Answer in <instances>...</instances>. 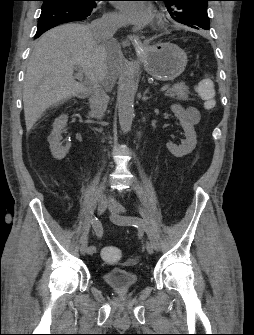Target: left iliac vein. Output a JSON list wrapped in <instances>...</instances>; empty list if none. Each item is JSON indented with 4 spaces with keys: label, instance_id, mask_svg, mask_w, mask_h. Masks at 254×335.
Listing matches in <instances>:
<instances>
[{
    "label": "left iliac vein",
    "instance_id": "1",
    "mask_svg": "<svg viewBox=\"0 0 254 335\" xmlns=\"http://www.w3.org/2000/svg\"><path fill=\"white\" fill-rule=\"evenodd\" d=\"M109 211L111 213V220L119 225H130L126 222H121L117 219L118 216H120V213L123 211L122 207L114 200L109 202ZM146 250L149 254H153L154 253V247L151 244V242H147L146 243Z\"/></svg>",
    "mask_w": 254,
    "mask_h": 335
}]
</instances>
